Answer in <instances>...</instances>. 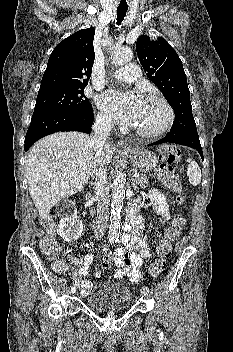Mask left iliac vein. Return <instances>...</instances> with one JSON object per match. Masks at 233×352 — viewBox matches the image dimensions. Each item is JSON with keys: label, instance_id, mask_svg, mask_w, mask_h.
Returning a JSON list of instances; mask_svg holds the SVG:
<instances>
[{"label": "left iliac vein", "instance_id": "left-iliac-vein-1", "mask_svg": "<svg viewBox=\"0 0 233 352\" xmlns=\"http://www.w3.org/2000/svg\"><path fill=\"white\" fill-rule=\"evenodd\" d=\"M141 295L144 299H147L149 296L148 292H145L144 290L141 292Z\"/></svg>", "mask_w": 233, "mask_h": 352}]
</instances>
